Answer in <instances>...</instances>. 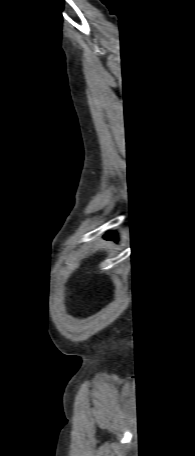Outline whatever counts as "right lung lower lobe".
I'll return each mask as SVG.
<instances>
[{
	"label": "right lung lower lobe",
	"mask_w": 195,
	"mask_h": 456,
	"mask_svg": "<svg viewBox=\"0 0 195 456\" xmlns=\"http://www.w3.org/2000/svg\"><path fill=\"white\" fill-rule=\"evenodd\" d=\"M106 237L109 238V239H115V235L112 232L106 234Z\"/></svg>",
	"instance_id": "obj_1"
}]
</instances>
